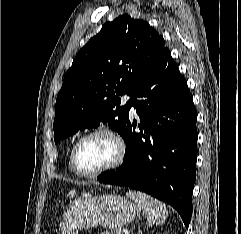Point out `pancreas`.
Masks as SVG:
<instances>
[{
	"instance_id": "1",
	"label": "pancreas",
	"mask_w": 241,
	"mask_h": 234,
	"mask_svg": "<svg viewBox=\"0 0 241 234\" xmlns=\"http://www.w3.org/2000/svg\"><path fill=\"white\" fill-rule=\"evenodd\" d=\"M101 234H124L122 229H111L110 231L103 232Z\"/></svg>"
}]
</instances>
